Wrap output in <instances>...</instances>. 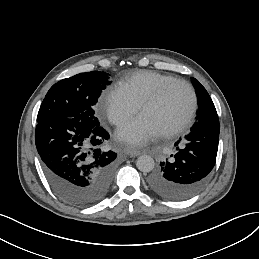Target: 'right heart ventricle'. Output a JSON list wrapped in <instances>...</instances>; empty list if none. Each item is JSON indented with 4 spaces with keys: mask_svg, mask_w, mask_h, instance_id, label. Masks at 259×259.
<instances>
[{
    "mask_svg": "<svg viewBox=\"0 0 259 259\" xmlns=\"http://www.w3.org/2000/svg\"><path fill=\"white\" fill-rule=\"evenodd\" d=\"M174 78L171 74L153 71H140L133 73L119 82L118 87L140 105L145 99L151 97L163 82Z\"/></svg>",
    "mask_w": 259,
    "mask_h": 259,
    "instance_id": "obj_1",
    "label": "right heart ventricle"
}]
</instances>
